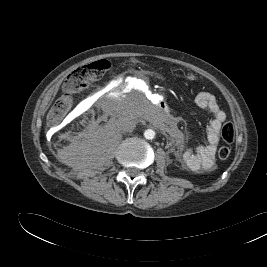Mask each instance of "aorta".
Returning <instances> with one entry per match:
<instances>
[{
  "label": "aorta",
  "mask_w": 267,
  "mask_h": 267,
  "mask_svg": "<svg viewBox=\"0 0 267 267\" xmlns=\"http://www.w3.org/2000/svg\"><path fill=\"white\" fill-rule=\"evenodd\" d=\"M144 137L148 140H152L155 137V131L152 129L145 130Z\"/></svg>",
  "instance_id": "obj_1"
}]
</instances>
